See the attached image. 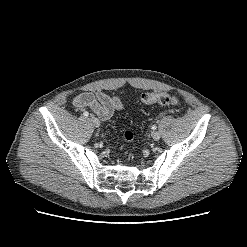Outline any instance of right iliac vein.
I'll list each match as a JSON object with an SVG mask.
<instances>
[{"label": "right iliac vein", "instance_id": "obj_1", "mask_svg": "<svg viewBox=\"0 0 247 247\" xmlns=\"http://www.w3.org/2000/svg\"><path fill=\"white\" fill-rule=\"evenodd\" d=\"M89 121L95 126V127H99L100 126V121L94 117V116H90Z\"/></svg>", "mask_w": 247, "mask_h": 247}]
</instances>
